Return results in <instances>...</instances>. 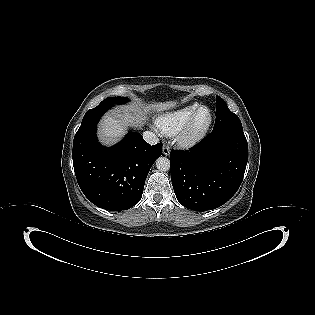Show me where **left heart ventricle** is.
I'll return each instance as SVG.
<instances>
[{
    "mask_svg": "<svg viewBox=\"0 0 315 315\" xmlns=\"http://www.w3.org/2000/svg\"><path fill=\"white\" fill-rule=\"evenodd\" d=\"M208 118H209L208 112L206 110L202 111L197 117L195 127L197 129L203 127L206 124V122L208 121Z\"/></svg>",
    "mask_w": 315,
    "mask_h": 315,
    "instance_id": "left-heart-ventricle-1",
    "label": "left heart ventricle"
}]
</instances>
